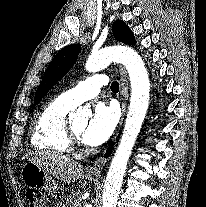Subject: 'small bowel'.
I'll return each instance as SVG.
<instances>
[{
    "mask_svg": "<svg viewBox=\"0 0 206 207\" xmlns=\"http://www.w3.org/2000/svg\"><path fill=\"white\" fill-rule=\"evenodd\" d=\"M57 207H65V206H63V205H58Z\"/></svg>",
    "mask_w": 206,
    "mask_h": 207,
    "instance_id": "obj_1",
    "label": "small bowel"
}]
</instances>
